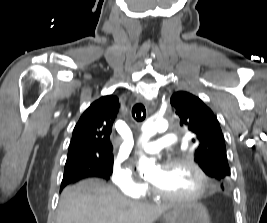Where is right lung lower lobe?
I'll list each match as a JSON object with an SVG mask.
<instances>
[{
    "instance_id": "right-lung-lower-lobe-1",
    "label": "right lung lower lobe",
    "mask_w": 267,
    "mask_h": 223,
    "mask_svg": "<svg viewBox=\"0 0 267 223\" xmlns=\"http://www.w3.org/2000/svg\"><path fill=\"white\" fill-rule=\"evenodd\" d=\"M88 177H100L102 176L98 173H93L91 171H82V170H76V171H68L64 172L63 180L61 183L60 191L65 187L66 185L78 181L80 179L88 178Z\"/></svg>"
}]
</instances>
